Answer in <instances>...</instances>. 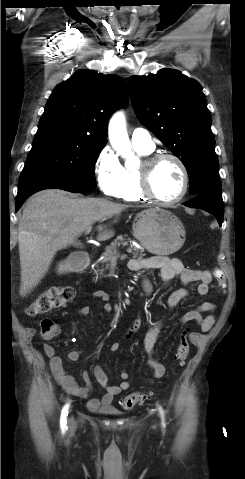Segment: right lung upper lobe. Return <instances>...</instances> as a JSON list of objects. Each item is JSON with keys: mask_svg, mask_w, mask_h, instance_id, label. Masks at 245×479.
I'll return each mask as SVG.
<instances>
[{"mask_svg": "<svg viewBox=\"0 0 245 479\" xmlns=\"http://www.w3.org/2000/svg\"><path fill=\"white\" fill-rule=\"evenodd\" d=\"M127 99L126 84L118 75L79 70L56 86L38 130H66L105 146L108 119Z\"/></svg>", "mask_w": 245, "mask_h": 479, "instance_id": "cb5924a9", "label": "right lung upper lobe"}]
</instances>
